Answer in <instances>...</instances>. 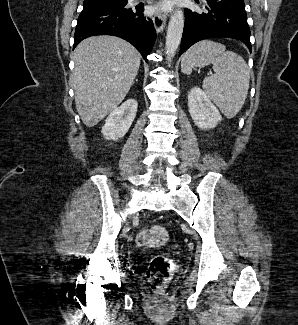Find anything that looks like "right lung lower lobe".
<instances>
[{"mask_svg":"<svg viewBox=\"0 0 298 325\" xmlns=\"http://www.w3.org/2000/svg\"><path fill=\"white\" fill-rule=\"evenodd\" d=\"M125 6L83 8L78 17L74 47L90 36L113 35L130 42L147 61L156 39L153 21L143 16V5Z\"/></svg>","mask_w":298,"mask_h":325,"instance_id":"obj_1","label":"right lung lower lobe"}]
</instances>
